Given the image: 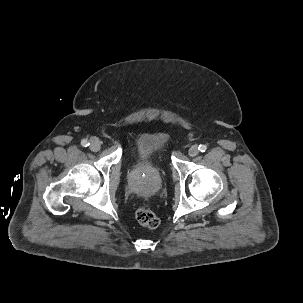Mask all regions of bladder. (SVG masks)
Here are the masks:
<instances>
[{
	"label": "bladder",
	"mask_w": 303,
	"mask_h": 303,
	"mask_svg": "<svg viewBox=\"0 0 303 303\" xmlns=\"http://www.w3.org/2000/svg\"><path fill=\"white\" fill-rule=\"evenodd\" d=\"M169 142L170 137L164 132L148 131L137 134L131 147L133 165L158 167L165 157Z\"/></svg>",
	"instance_id": "31cf9c89"
}]
</instances>
